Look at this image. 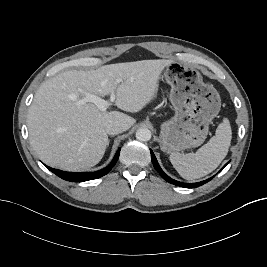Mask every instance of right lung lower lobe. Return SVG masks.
I'll list each match as a JSON object with an SVG mask.
<instances>
[{
	"mask_svg": "<svg viewBox=\"0 0 267 267\" xmlns=\"http://www.w3.org/2000/svg\"><path fill=\"white\" fill-rule=\"evenodd\" d=\"M120 154V149L116 152L112 162L105 167L102 170L96 171V172H85V173H76V172H65L61 171L58 169H53L50 167H47L50 171H52L54 174L59 176L60 178L66 180V181H71V182H83V181H88V180H93L100 178L104 175H106L116 164Z\"/></svg>",
	"mask_w": 267,
	"mask_h": 267,
	"instance_id": "right-lung-lower-lobe-1",
	"label": "right lung lower lobe"
}]
</instances>
